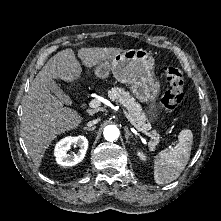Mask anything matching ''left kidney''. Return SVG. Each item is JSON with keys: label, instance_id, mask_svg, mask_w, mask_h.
Returning a JSON list of instances; mask_svg holds the SVG:
<instances>
[{"label": "left kidney", "instance_id": "5707ae66", "mask_svg": "<svg viewBox=\"0 0 221 221\" xmlns=\"http://www.w3.org/2000/svg\"><path fill=\"white\" fill-rule=\"evenodd\" d=\"M138 156L142 159V160H145L146 159V156L143 152H138Z\"/></svg>", "mask_w": 221, "mask_h": 221}]
</instances>
